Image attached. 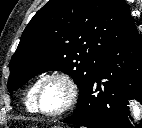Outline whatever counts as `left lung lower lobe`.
Masks as SVG:
<instances>
[{
  "label": "left lung lower lobe",
  "mask_w": 142,
  "mask_h": 128,
  "mask_svg": "<svg viewBox=\"0 0 142 128\" xmlns=\"http://www.w3.org/2000/svg\"><path fill=\"white\" fill-rule=\"evenodd\" d=\"M128 99L142 104V38L138 31L109 49L63 122L87 128H142L130 123Z\"/></svg>",
  "instance_id": "left-lung-lower-lobe-1"
}]
</instances>
